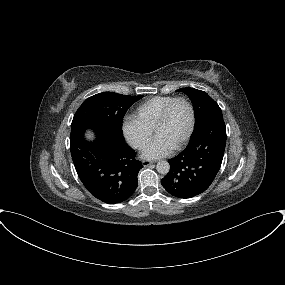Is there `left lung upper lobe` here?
I'll use <instances>...</instances> for the list:
<instances>
[{
    "mask_svg": "<svg viewBox=\"0 0 285 285\" xmlns=\"http://www.w3.org/2000/svg\"><path fill=\"white\" fill-rule=\"evenodd\" d=\"M177 92H184L187 94L193 103L195 111V128L192 136L209 119L215 116H222L220 107L206 92L194 88H180Z\"/></svg>",
    "mask_w": 285,
    "mask_h": 285,
    "instance_id": "5c2ea615",
    "label": "left lung upper lobe"
}]
</instances>
